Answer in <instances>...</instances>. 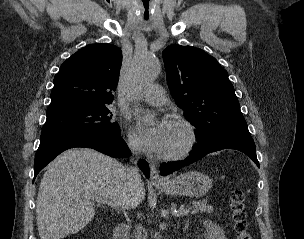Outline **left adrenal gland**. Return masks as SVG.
<instances>
[{"label": "left adrenal gland", "mask_w": 304, "mask_h": 239, "mask_svg": "<svg viewBox=\"0 0 304 239\" xmlns=\"http://www.w3.org/2000/svg\"><path fill=\"white\" fill-rule=\"evenodd\" d=\"M188 224H189V221L186 222L184 230H186V228H188Z\"/></svg>", "instance_id": "left-adrenal-gland-1"}]
</instances>
